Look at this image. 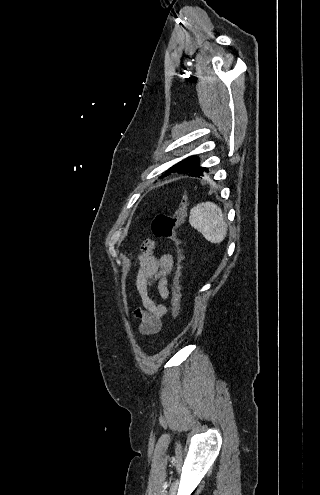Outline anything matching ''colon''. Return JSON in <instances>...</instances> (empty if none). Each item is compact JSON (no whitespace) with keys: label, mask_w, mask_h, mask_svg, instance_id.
<instances>
[{"label":"colon","mask_w":320,"mask_h":495,"mask_svg":"<svg viewBox=\"0 0 320 495\" xmlns=\"http://www.w3.org/2000/svg\"><path fill=\"white\" fill-rule=\"evenodd\" d=\"M188 204V197L183 195L178 210L173 214L159 213L152 221V231L154 235L169 240L175 248L177 265L172 283V313L177 319L181 305L180 277L182 274V262L184 259L181 242L177 236V229L182 223Z\"/></svg>","instance_id":"obj_1"}]
</instances>
